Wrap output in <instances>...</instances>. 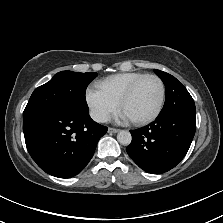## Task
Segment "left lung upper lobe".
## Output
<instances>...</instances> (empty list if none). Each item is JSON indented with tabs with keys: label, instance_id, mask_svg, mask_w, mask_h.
<instances>
[{
	"label": "left lung upper lobe",
	"instance_id": "left-lung-upper-lobe-1",
	"mask_svg": "<svg viewBox=\"0 0 223 223\" xmlns=\"http://www.w3.org/2000/svg\"><path fill=\"white\" fill-rule=\"evenodd\" d=\"M166 88V100L158 116L176 112L195 113V104L187 89L174 76L155 70Z\"/></svg>",
	"mask_w": 223,
	"mask_h": 223
}]
</instances>
